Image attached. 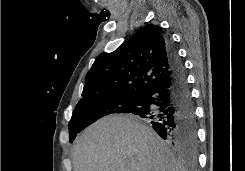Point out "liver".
<instances>
[{
    "label": "liver",
    "instance_id": "liver-1",
    "mask_svg": "<svg viewBox=\"0 0 245 171\" xmlns=\"http://www.w3.org/2000/svg\"><path fill=\"white\" fill-rule=\"evenodd\" d=\"M74 171H186L152 128L132 115H111L75 140Z\"/></svg>",
    "mask_w": 245,
    "mask_h": 171
}]
</instances>
